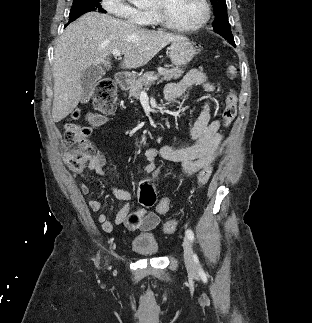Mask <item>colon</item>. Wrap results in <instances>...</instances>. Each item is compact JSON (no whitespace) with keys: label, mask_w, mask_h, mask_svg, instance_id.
Masks as SVG:
<instances>
[{"label":"colon","mask_w":312,"mask_h":323,"mask_svg":"<svg viewBox=\"0 0 312 323\" xmlns=\"http://www.w3.org/2000/svg\"><path fill=\"white\" fill-rule=\"evenodd\" d=\"M94 105L96 113L91 115V120L95 126L101 125L105 121L106 114L112 112L117 104V93L114 81L109 77L99 78L94 91ZM238 97L234 90L230 89L226 94L225 109L223 112L224 124L229 126L235 119L237 114ZM92 129L89 125H76L68 123L63 133V146L65 147V157L67 168L71 172H78L85 164L93 159L96 150L88 137L91 135ZM160 170L154 172L152 177L157 179ZM212 168L206 166L198 177L200 186L206 184L211 177ZM140 188L137 189L139 202L145 206H154L156 202V192L154 186L149 183V177H140ZM169 202H158L156 213H169ZM178 221L171 220L163 225V232L173 234L178 228Z\"/></svg>","instance_id":"1"}]
</instances>
